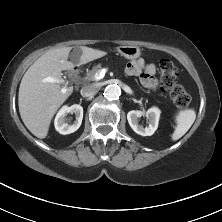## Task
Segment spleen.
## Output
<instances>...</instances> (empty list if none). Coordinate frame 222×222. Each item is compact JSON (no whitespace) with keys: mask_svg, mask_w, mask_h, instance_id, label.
Instances as JSON below:
<instances>
[{"mask_svg":"<svg viewBox=\"0 0 222 222\" xmlns=\"http://www.w3.org/2000/svg\"><path fill=\"white\" fill-rule=\"evenodd\" d=\"M196 119V112L193 109H186L180 111L176 115L177 126L172 134V140L176 141L180 139L190 129Z\"/></svg>","mask_w":222,"mask_h":222,"instance_id":"spleen-1","label":"spleen"}]
</instances>
